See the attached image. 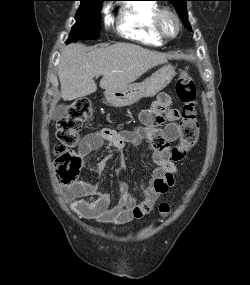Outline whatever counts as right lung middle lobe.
Listing matches in <instances>:
<instances>
[{
  "mask_svg": "<svg viewBox=\"0 0 250 285\" xmlns=\"http://www.w3.org/2000/svg\"><path fill=\"white\" fill-rule=\"evenodd\" d=\"M81 5L76 13V24L72 27L68 42L94 40L100 36V13L103 1L79 0Z\"/></svg>",
  "mask_w": 250,
  "mask_h": 285,
  "instance_id": "obj_1",
  "label": "right lung middle lobe"
}]
</instances>
